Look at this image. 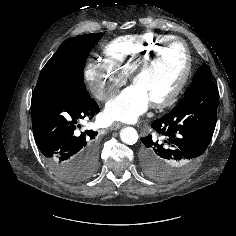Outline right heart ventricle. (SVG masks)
<instances>
[{
	"instance_id": "e07e8e85",
	"label": "right heart ventricle",
	"mask_w": 236,
	"mask_h": 236,
	"mask_svg": "<svg viewBox=\"0 0 236 236\" xmlns=\"http://www.w3.org/2000/svg\"><path fill=\"white\" fill-rule=\"evenodd\" d=\"M173 38L170 34L162 33L126 35L112 40L103 52L107 61L127 76L155 48Z\"/></svg>"
}]
</instances>
